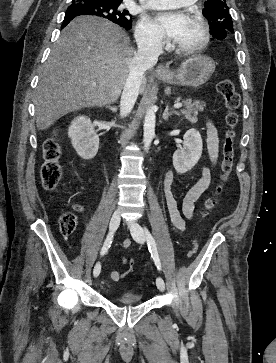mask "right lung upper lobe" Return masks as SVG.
Here are the masks:
<instances>
[{"instance_id":"right-lung-upper-lobe-1","label":"right lung upper lobe","mask_w":276,"mask_h":363,"mask_svg":"<svg viewBox=\"0 0 276 363\" xmlns=\"http://www.w3.org/2000/svg\"><path fill=\"white\" fill-rule=\"evenodd\" d=\"M103 1H109V2L121 3V1H122V0H103Z\"/></svg>"}]
</instances>
